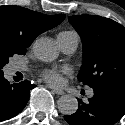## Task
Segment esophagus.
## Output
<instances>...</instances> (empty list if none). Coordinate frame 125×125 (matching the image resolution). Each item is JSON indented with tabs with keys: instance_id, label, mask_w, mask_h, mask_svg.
<instances>
[{
	"instance_id": "esophagus-1",
	"label": "esophagus",
	"mask_w": 125,
	"mask_h": 125,
	"mask_svg": "<svg viewBox=\"0 0 125 125\" xmlns=\"http://www.w3.org/2000/svg\"><path fill=\"white\" fill-rule=\"evenodd\" d=\"M50 88H51L52 91H53L55 94H57V95H63V94H64V91H63V90L55 89V88H52V87H50Z\"/></svg>"
}]
</instances>
